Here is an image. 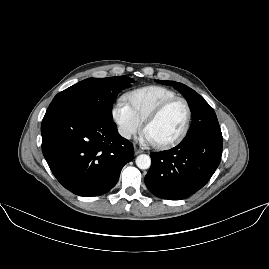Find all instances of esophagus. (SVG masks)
Here are the masks:
<instances>
[{
  "label": "esophagus",
  "instance_id": "obj_1",
  "mask_svg": "<svg viewBox=\"0 0 269 269\" xmlns=\"http://www.w3.org/2000/svg\"><path fill=\"white\" fill-rule=\"evenodd\" d=\"M134 150H135V154H136V155L139 154V153H141V152H143V150L138 149V148H135Z\"/></svg>",
  "mask_w": 269,
  "mask_h": 269
}]
</instances>
